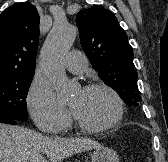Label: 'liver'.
<instances>
[{
	"mask_svg": "<svg viewBox=\"0 0 168 162\" xmlns=\"http://www.w3.org/2000/svg\"><path fill=\"white\" fill-rule=\"evenodd\" d=\"M99 147L91 139L48 137L0 123V162H61L73 154Z\"/></svg>",
	"mask_w": 168,
	"mask_h": 162,
	"instance_id": "liver-1",
	"label": "liver"
}]
</instances>
